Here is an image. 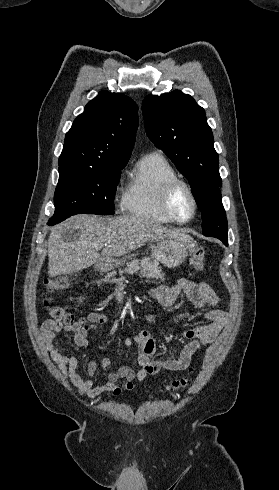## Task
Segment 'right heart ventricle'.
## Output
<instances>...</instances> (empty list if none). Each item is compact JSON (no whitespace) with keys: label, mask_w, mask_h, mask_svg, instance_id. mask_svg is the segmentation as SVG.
Returning a JSON list of instances; mask_svg holds the SVG:
<instances>
[{"label":"right heart ventricle","mask_w":279,"mask_h":490,"mask_svg":"<svg viewBox=\"0 0 279 490\" xmlns=\"http://www.w3.org/2000/svg\"><path fill=\"white\" fill-rule=\"evenodd\" d=\"M177 177L176 171L161 153L153 152L141 158L124 199L128 214L160 225L175 224L164 211L163 195L169 181Z\"/></svg>","instance_id":"1"}]
</instances>
